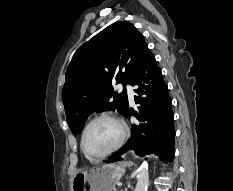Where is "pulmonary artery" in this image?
Returning a JSON list of instances; mask_svg holds the SVG:
<instances>
[{
  "label": "pulmonary artery",
  "mask_w": 233,
  "mask_h": 191,
  "mask_svg": "<svg viewBox=\"0 0 233 191\" xmlns=\"http://www.w3.org/2000/svg\"><path fill=\"white\" fill-rule=\"evenodd\" d=\"M124 87L127 90L129 101L131 103H133L134 102V91H133V88L130 85H126Z\"/></svg>",
  "instance_id": "pulmonary-artery-1"
}]
</instances>
